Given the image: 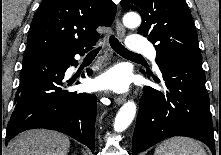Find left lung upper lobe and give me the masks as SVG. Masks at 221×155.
Segmentation results:
<instances>
[{"mask_svg":"<svg viewBox=\"0 0 221 155\" xmlns=\"http://www.w3.org/2000/svg\"><path fill=\"white\" fill-rule=\"evenodd\" d=\"M142 17L138 33L155 44L156 62L168 56L202 60L195 25L184 0H122Z\"/></svg>","mask_w":221,"mask_h":155,"instance_id":"left-lung-upper-lobe-1","label":"left lung upper lobe"}]
</instances>
